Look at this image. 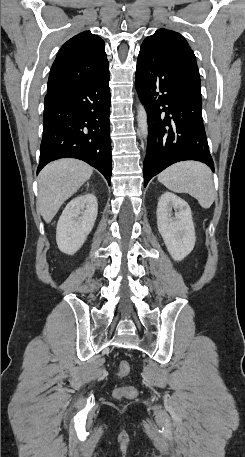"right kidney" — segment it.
<instances>
[{
    "mask_svg": "<svg viewBox=\"0 0 245 457\" xmlns=\"http://www.w3.org/2000/svg\"><path fill=\"white\" fill-rule=\"evenodd\" d=\"M97 212V196L93 192H85L72 198L58 220L56 229L58 249L67 255L77 253L93 229Z\"/></svg>",
    "mask_w": 245,
    "mask_h": 457,
    "instance_id": "ca27d5eb",
    "label": "right kidney"
}]
</instances>
